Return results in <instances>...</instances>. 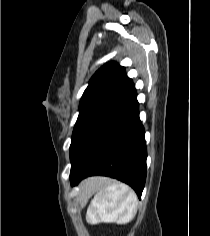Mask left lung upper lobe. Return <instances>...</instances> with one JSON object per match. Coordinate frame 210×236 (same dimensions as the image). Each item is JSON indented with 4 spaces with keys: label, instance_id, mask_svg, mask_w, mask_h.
Masks as SVG:
<instances>
[{
    "label": "left lung upper lobe",
    "instance_id": "5c2ea615",
    "mask_svg": "<svg viewBox=\"0 0 210 236\" xmlns=\"http://www.w3.org/2000/svg\"><path fill=\"white\" fill-rule=\"evenodd\" d=\"M132 84V80L126 75L125 68L116 62H110L101 67L91 78L81 98L71 145L80 132Z\"/></svg>",
    "mask_w": 210,
    "mask_h": 236
}]
</instances>
